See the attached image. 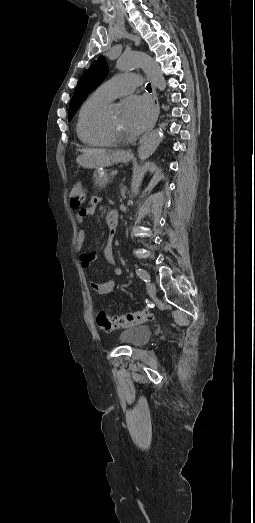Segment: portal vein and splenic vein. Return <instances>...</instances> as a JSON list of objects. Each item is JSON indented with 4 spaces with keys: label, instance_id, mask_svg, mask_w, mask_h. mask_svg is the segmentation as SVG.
<instances>
[{
    "label": "portal vein and splenic vein",
    "instance_id": "18ae733b",
    "mask_svg": "<svg viewBox=\"0 0 255 523\" xmlns=\"http://www.w3.org/2000/svg\"><path fill=\"white\" fill-rule=\"evenodd\" d=\"M117 172H112V174H110V177H113V176H116Z\"/></svg>",
    "mask_w": 255,
    "mask_h": 523
}]
</instances>
